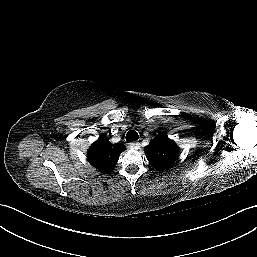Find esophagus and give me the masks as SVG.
<instances>
[{"mask_svg":"<svg viewBox=\"0 0 257 257\" xmlns=\"http://www.w3.org/2000/svg\"><path fill=\"white\" fill-rule=\"evenodd\" d=\"M129 147L133 150H138L140 148V144L138 142H132L129 144Z\"/></svg>","mask_w":257,"mask_h":257,"instance_id":"esophagus-1","label":"esophagus"}]
</instances>
